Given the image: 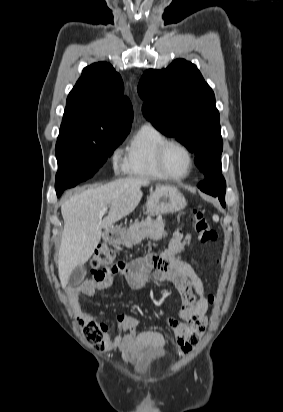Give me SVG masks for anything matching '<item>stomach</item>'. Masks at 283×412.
Returning a JSON list of instances; mask_svg holds the SVG:
<instances>
[{
	"label": "stomach",
	"mask_w": 283,
	"mask_h": 412,
	"mask_svg": "<svg viewBox=\"0 0 283 412\" xmlns=\"http://www.w3.org/2000/svg\"><path fill=\"white\" fill-rule=\"evenodd\" d=\"M186 200L183 194L175 187L161 186L150 195L146 204L148 215L177 213L184 209ZM113 243L124 242V234L121 232L112 239Z\"/></svg>",
	"instance_id": "stomach-1"
}]
</instances>
